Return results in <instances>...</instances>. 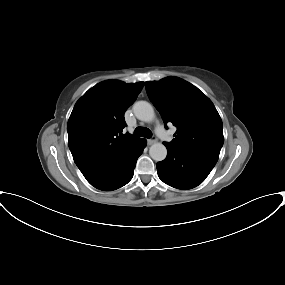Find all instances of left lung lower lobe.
<instances>
[{
  "instance_id": "1",
  "label": "left lung lower lobe",
  "mask_w": 285,
  "mask_h": 285,
  "mask_svg": "<svg viewBox=\"0 0 285 285\" xmlns=\"http://www.w3.org/2000/svg\"><path fill=\"white\" fill-rule=\"evenodd\" d=\"M167 157L157 163L159 178L177 189H191L201 184L209 175L216 162L187 153L164 143Z\"/></svg>"
}]
</instances>
